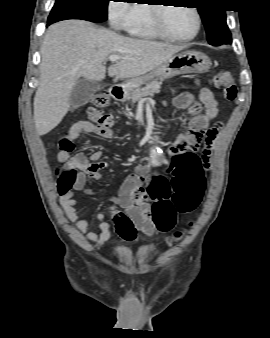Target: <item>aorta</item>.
I'll use <instances>...</instances> for the list:
<instances>
[{"instance_id":"762f6f07","label":"aorta","mask_w":270,"mask_h":338,"mask_svg":"<svg viewBox=\"0 0 270 338\" xmlns=\"http://www.w3.org/2000/svg\"><path fill=\"white\" fill-rule=\"evenodd\" d=\"M158 156H159L158 151H156V152L153 153L152 163L154 165H158L159 164Z\"/></svg>"}]
</instances>
